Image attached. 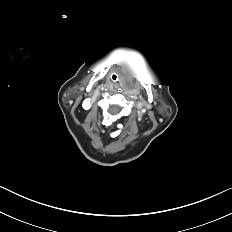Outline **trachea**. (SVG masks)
I'll use <instances>...</instances> for the list:
<instances>
[{
	"instance_id": "1",
	"label": "trachea",
	"mask_w": 232,
	"mask_h": 232,
	"mask_svg": "<svg viewBox=\"0 0 232 232\" xmlns=\"http://www.w3.org/2000/svg\"><path fill=\"white\" fill-rule=\"evenodd\" d=\"M110 80H111V82H113V83H117L118 80H119V76H118L116 73H111V74H110Z\"/></svg>"
}]
</instances>
